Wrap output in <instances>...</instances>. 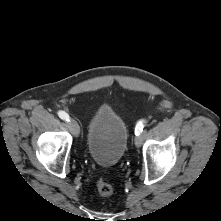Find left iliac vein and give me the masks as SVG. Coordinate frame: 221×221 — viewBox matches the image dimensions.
I'll return each instance as SVG.
<instances>
[{"label":"left iliac vein","mask_w":221,"mask_h":221,"mask_svg":"<svg viewBox=\"0 0 221 221\" xmlns=\"http://www.w3.org/2000/svg\"><path fill=\"white\" fill-rule=\"evenodd\" d=\"M142 141H143L142 135H138L135 137V145L136 146L139 147L142 144Z\"/></svg>","instance_id":"1"}]
</instances>
